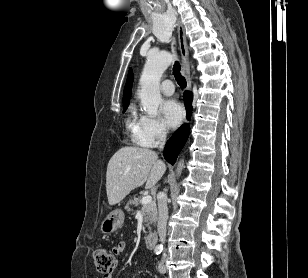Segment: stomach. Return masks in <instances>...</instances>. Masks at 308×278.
Wrapping results in <instances>:
<instances>
[{"instance_id":"stomach-1","label":"stomach","mask_w":308,"mask_h":278,"mask_svg":"<svg viewBox=\"0 0 308 278\" xmlns=\"http://www.w3.org/2000/svg\"><path fill=\"white\" fill-rule=\"evenodd\" d=\"M124 223V213L120 209L110 212L102 221L100 231L104 235H110L120 228Z\"/></svg>"}]
</instances>
